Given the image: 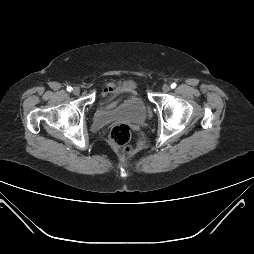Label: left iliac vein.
<instances>
[{"instance_id": "obj_1", "label": "left iliac vein", "mask_w": 254, "mask_h": 254, "mask_svg": "<svg viewBox=\"0 0 254 254\" xmlns=\"http://www.w3.org/2000/svg\"><path fill=\"white\" fill-rule=\"evenodd\" d=\"M162 90H163V92L166 93V92L170 91V86L165 84V85H163Z\"/></svg>"}]
</instances>
